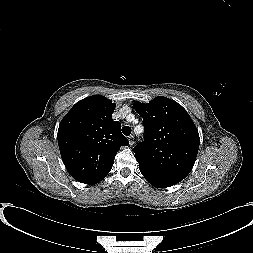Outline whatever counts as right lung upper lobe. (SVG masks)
Here are the masks:
<instances>
[{"label":"right lung upper lobe","mask_w":253,"mask_h":253,"mask_svg":"<svg viewBox=\"0 0 253 253\" xmlns=\"http://www.w3.org/2000/svg\"><path fill=\"white\" fill-rule=\"evenodd\" d=\"M116 105L101 95L77 102L58 128V145L65 167L77 181L100 182L112 169L121 146L129 144L121 123L113 121Z\"/></svg>","instance_id":"1"}]
</instances>
